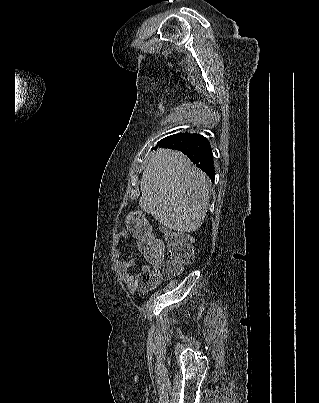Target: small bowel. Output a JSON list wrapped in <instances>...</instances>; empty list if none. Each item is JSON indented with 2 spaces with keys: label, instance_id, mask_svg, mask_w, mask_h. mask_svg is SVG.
I'll return each mask as SVG.
<instances>
[{
  "label": "small bowel",
  "instance_id": "obj_1",
  "mask_svg": "<svg viewBox=\"0 0 319 403\" xmlns=\"http://www.w3.org/2000/svg\"><path fill=\"white\" fill-rule=\"evenodd\" d=\"M130 231L124 230L121 235L123 237H128ZM136 265V259L133 255L126 257L125 259H116L115 270L123 281L126 282L130 290H135L137 288V276L129 273V270ZM142 272L150 270L148 265H143L141 267Z\"/></svg>",
  "mask_w": 319,
  "mask_h": 403
}]
</instances>
